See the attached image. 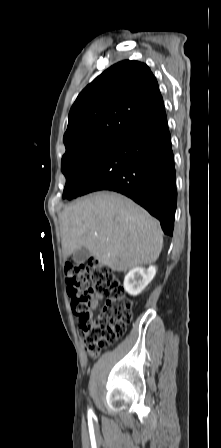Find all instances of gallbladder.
Returning <instances> with one entry per match:
<instances>
[{"instance_id":"gallbladder-1","label":"gallbladder","mask_w":221,"mask_h":448,"mask_svg":"<svg viewBox=\"0 0 221 448\" xmlns=\"http://www.w3.org/2000/svg\"><path fill=\"white\" fill-rule=\"evenodd\" d=\"M90 256V251L82 247L73 253V259L77 264L84 263Z\"/></svg>"}]
</instances>
